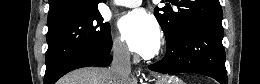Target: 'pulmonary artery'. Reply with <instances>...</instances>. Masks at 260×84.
Masks as SVG:
<instances>
[{
	"instance_id": "obj_1",
	"label": "pulmonary artery",
	"mask_w": 260,
	"mask_h": 84,
	"mask_svg": "<svg viewBox=\"0 0 260 84\" xmlns=\"http://www.w3.org/2000/svg\"><path fill=\"white\" fill-rule=\"evenodd\" d=\"M117 5L125 6V7H136L141 4L140 0H117L115 1Z\"/></svg>"
}]
</instances>
